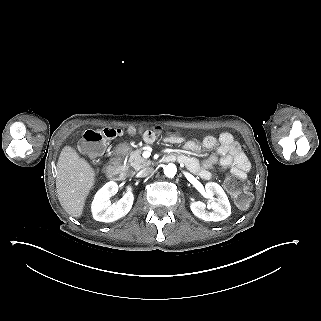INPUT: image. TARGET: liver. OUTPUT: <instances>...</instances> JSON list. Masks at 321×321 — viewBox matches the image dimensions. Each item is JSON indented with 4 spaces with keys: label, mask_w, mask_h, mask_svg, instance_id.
I'll return each mask as SVG.
<instances>
[{
    "label": "liver",
    "mask_w": 321,
    "mask_h": 321,
    "mask_svg": "<svg viewBox=\"0 0 321 321\" xmlns=\"http://www.w3.org/2000/svg\"><path fill=\"white\" fill-rule=\"evenodd\" d=\"M58 199L63 209L73 217H80L85 200L95 183V172L70 146L59 156L56 172Z\"/></svg>",
    "instance_id": "1"
}]
</instances>
